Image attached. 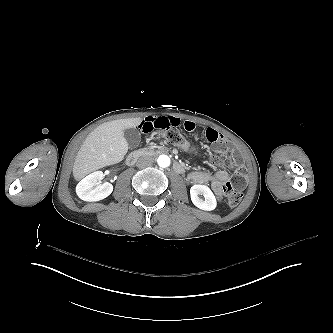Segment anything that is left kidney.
<instances>
[{
  "label": "left kidney",
  "instance_id": "5707ae66",
  "mask_svg": "<svg viewBox=\"0 0 333 333\" xmlns=\"http://www.w3.org/2000/svg\"><path fill=\"white\" fill-rule=\"evenodd\" d=\"M190 195L193 204L199 209L211 211L216 208V198L209 187L205 185H193L190 189ZM199 195H203L204 200L199 198Z\"/></svg>",
  "mask_w": 333,
  "mask_h": 333
}]
</instances>
